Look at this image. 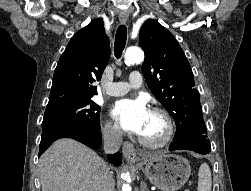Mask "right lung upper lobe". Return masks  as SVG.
<instances>
[{"label":"right lung upper lobe","mask_w":251,"mask_h":191,"mask_svg":"<svg viewBox=\"0 0 251 191\" xmlns=\"http://www.w3.org/2000/svg\"><path fill=\"white\" fill-rule=\"evenodd\" d=\"M110 57V45L102 19H95L69 41L54 72L47 107L92 99Z\"/></svg>","instance_id":"cb5924a9"}]
</instances>
